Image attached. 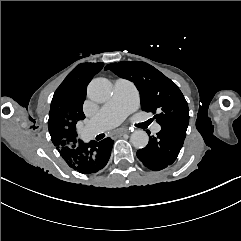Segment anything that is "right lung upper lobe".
I'll use <instances>...</instances> for the list:
<instances>
[{
	"mask_svg": "<svg viewBox=\"0 0 241 241\" xmlns=\"http://www.w3.org/2000/svg\"><path fill=\"white\" fill-rule=\"evenodd\" d=\"M86 98V91L78 93L72 103L68 113H60L51 105L48 120V129L53 144L58 148L76 142V124L85 118L83 113V103Z\"/></svg>",
	"mask_w": 241,
	"mask_h": 241,
	"instance_id": "obj_1",
	"label": "right lung upper lobe"
}]
</instances>
